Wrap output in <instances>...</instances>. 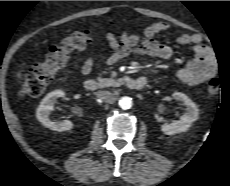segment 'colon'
<instances>
[{"label":"colon","instance_id":"obj_1","mask_svg":"<svg viewBox=\"0 0 230 186\" xmlns=\"http://www.w3.org/2000/svg\"><path fill=\"white\" fill-rule=\"evenodd\" d=\"M92 41V34L89 30L76 31L58 44L53 45L46 60L30 68L24 77L18 95L24 97H38L43 94L48 85L53 81L55 75L64 69L73 51L87 47ZM220 91L218 80H211L205 89L208 99L215 98Z\"/></svg>","mask_w":230,"mask_h":186}]
</instances>
